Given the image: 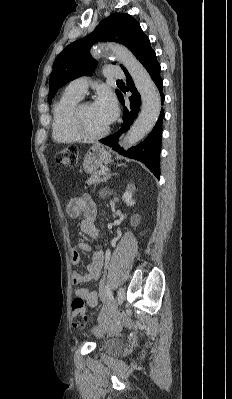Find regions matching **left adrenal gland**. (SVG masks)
I'll list each match as a JSON object with an SVG mask.
<instances>
[{
  "mask_svg": "<svg viewBox=\"0 0 232 399\" xmlns=\"http://www.w3.org/2000/svg\"><path fill=\"white\" fill-rule=\"evenodd\" d=\"M111 176H117V174H109V178H111Z\"/></svg>",
  "mask_w": 232,
  "mask_h": 399,
  "instance_id": "1",
  "label": "left adrenal gland"
}]
</instances>
